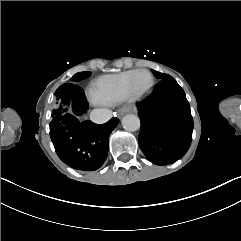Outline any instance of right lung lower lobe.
Returning <instances> with one entry per match:
<instances>
[{
	"label": "right lung lower lobe",
	"mask_w": 241,
	"mask_h": 241,
	"mask_svg": "<svg viewBox=\"0 0 241 241\" xmlns=\"http://www.w3.org/2000/svg\"><path fill=\"white\" fill-rule=\"evenodd\" d=\"M68 97L72 111L53 118L50 123L52 143L65 164L77 170L94 171L107 158L109 136L119 120L113 117L100 125L92 121L80 122L77 116L89 106L84 91L78 85L70 84Z\"/></svg>",
	"instance_id": "98d812e1"
}]
</instances>
